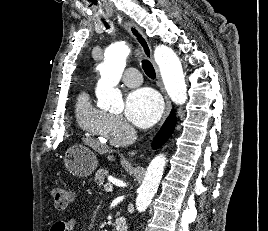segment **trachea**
<instances>
[{"instance_id":"trachea-1","label":"trachea","mask_w":268,"mask_h":231,"mask_svg":"<svg viewBox=\"0 0 268 231\" xmlns=\"http://www.w3.org/2000/svg\"><path fill=\"white\" fill-rule=\"evenodd\" d=\"M103 23L105 24V27L107 29L110 28L109 24L106 21H103ZM142 68L148 77H150L151 79L155 78L156 73L154 67L148 60H142Z\"/></svg>"}]
</instances>
